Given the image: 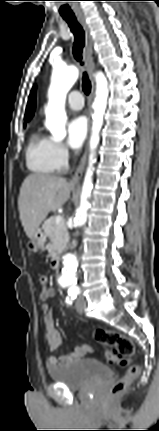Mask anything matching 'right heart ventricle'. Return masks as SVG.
<instances>
[{
  "label": "right heart ventricle",
  "mask_w": 159,
  "mask_h": 431,
  "mask_svg": "<svg viewBox=\"0 0 159 431\" xmlns=\"http://www.w3.org/2000/svg\"><path fill=\"white\" fill-rule=\"evenodd\" d=\"M27 167L41 174H50L57 169L53 163L50 153V139L38 132L31 134L26 149Z\"/></svg>",
  "instance_id": "e07e8e85"
}]
</instances>
